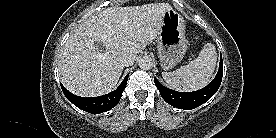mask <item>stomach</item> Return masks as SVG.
Instances as JSON below:
<instances>
[{"label":"stomach","instance_id":"0dacf381","mask_svg":"<svg viewBox=\"0 0 276 138\" xmlns=\"http://www.w3.org/2000/svg\"><path fill=\"white\" fill-rule=\"evenodd\" d=\"M157 43L158 57L164 70L175 67L183 59L187 49L185 20L172 7L164 12Z\"/></svg>","mask_w":276,"mask_h":138}]
</instances>
